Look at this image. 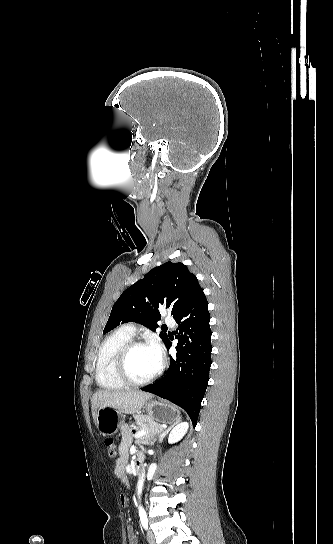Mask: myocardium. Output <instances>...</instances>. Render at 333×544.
I'll return each instance as SVG.
<instances>
[{"label": "myocardium", "mask_w": 333, "mask_h": 544, "mask_svg": "<svg viewBox=\"0 0 333 544\" xmlns=\"http://www.w3.org/2000/svg\"><path fill=\"white\" fill-rule=\"evenodd\" d=\"M146 345L152 346L153 343L150 340H147V339H135V338H132L128 342H126L122 346L120 351L118 352V355L116 357L115 370H116V374H117L118 378L125 385L132 386V387L146 386V385L152 383L153 381H155L160 376V374L162 373L163 368H164V361H163V359L161 357L159 367L157 368V370L150 377H148V378H146L144 380H135L130 376L129 371H128V359H129V356H130L132 350L134 348L138 347V346H146Z\"/></svg>", "instance_id": "myocardium-1"}]
</instances>
